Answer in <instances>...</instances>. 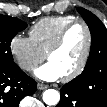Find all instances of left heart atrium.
Segmentation results:
<instances>
[{"instance_id":"1","label":"left heart atrium","mask_w":107,"mask_h":107,"mask_svg":"<svg viewBox=\"0 0 107 107\" xmlns=\"http://www.w3.org/2000/svg\"><path fill=\"white\" fill-rule=\"evenodd\" d=\"M35 76L44 81H56L62 74L57 66L49 61L35 70Z\"/></svg>"}]
</instances>
